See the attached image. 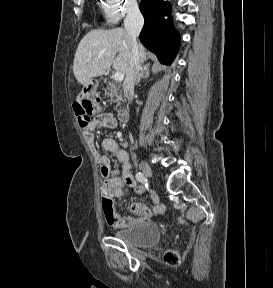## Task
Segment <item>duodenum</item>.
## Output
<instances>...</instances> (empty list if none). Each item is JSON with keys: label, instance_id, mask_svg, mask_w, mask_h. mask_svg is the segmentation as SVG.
I'll return each mask as SVG.
<instances>
[{"label": "duodenum", "instance_id": "obj_1", "mask_svg": "<svg viewBox=\"0 0 273 288\" xmlns=\"http://www.w3.org/2000/svg\"><path fill=\"white\" fill-rule=\"evenodd\" d=\"M118 119L121 123H127L129 121V113L126 110H119Z\"/></svg>", "mask_w": 273, "mask_h": 288}]
</instances>
